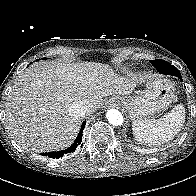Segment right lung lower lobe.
Returning a JSON list of instances; mask_svg holds the SVG:
<instances>
[{
  "instance_id": "98d812e1",
  "label": "right lung lower lobe",
  "mask_w": 196,
  "mask_h": 196,
  "mask_svg": "<svg viewBox=\"0 0 196 196\" xmlns=\"http://www.w3.org/2000/svg\"><path fill=\"white\" fill-rule=\"evenodd\" d=\"M85 125H86V121H84L82 123L80 132H79L76 140L74 141V143L69 148H67L65 150L58 151V152L42 153L41 155L42 156H48V157H51V158H57L58 159L60 157H63L65 154H68L70 152H74L75 149L81 144V141H82V133H83V129L85 128Z\"/></svg>"
}]
</instances>
